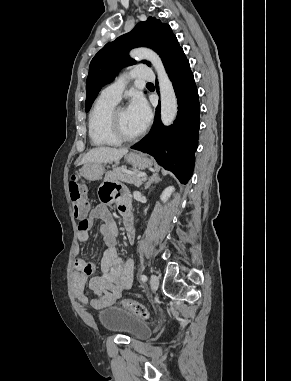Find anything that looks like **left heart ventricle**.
Returning <instances> with one entry per match:
<instances>
[{
    "label": "left heart ventricle",
    "instance_id": "left-heart-ventricle-1",
    "mask_svg": "<svg viewBox=\"0 0 291 381\" xmlns=\"http://www.w3.org/2000/svg\"><path fill=\"white\" fill-rule=\"evenodd\" d=\"M118 121L121 131L127 136H134L141 131L140 127L127 109H122L119 112Z\"/></svg>",
    "mask_w": 291,
    "mask_h": 381
}]
</instances>
